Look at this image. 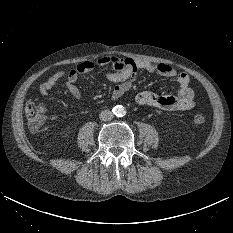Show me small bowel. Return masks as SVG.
<instances>
[{
  "label": "small bowel",
  "instance_id": "c3829d8e",
  "mask_svg": "<svg viewBox=\"0 0 233 233\" xmlns=\"http://www.w3.org/2000/svg\"><path fill=\"white\" fill-rule=\"evenodd\" d=\"M104 66L112 68V71L104 74L105 78L115 83L109 94L110 100H117L126 94L132 88L137 72L146 71L174 78L178 89L176 94L168 95L142 91L135 97L137 104L155 107L164 111H186L194 106V92L190 86V76L186 72H179L171 65L165 63H152L146 60L116 56H103L96 60L81 62L67 73L63 71L57 72L40 85L39 93L42 97H45L59 80L65 78L69 93L75 99L81 100L82 93L76 85L79 76Z\"/></svg>",
  "mask_w": 233,
  "mask_h": 233
}]
</instances>
